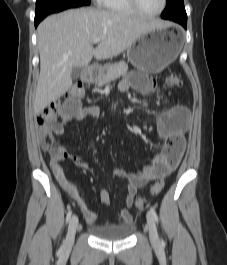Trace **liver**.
Returning <instances> with one entry per match:
<instances>
[{
    "label": "liver",
    "instance_id": "1",
    "mask_svg": "<svg viewBox=\"0 0 227 265\" xmlns=\"http://www.w3.org/2000/svg\"><path fill=\"white\" fill-rule=\"evenodd\" d=\"M129 15L94 8L67 10L48 16L38 26L40 76L33 102L35 114L72 86V70L94 57L110 59L124 52L143 34L163 27ZM95 38L100 42L93 48Z\"/></svg>",
    "mask_w": 227,
    "mask_h": 265
}]
</instances>
